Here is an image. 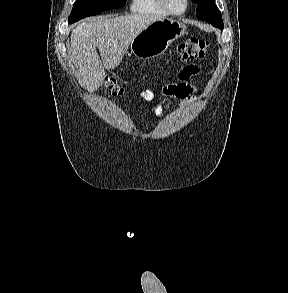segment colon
<instances>
[{
    "instance_id": "1",
    "label": "colon",
    "mask_w": 288,
    "mask_h": 293,
    "mask_svg": "<svg viewBox=\"0 0 288 293\" xmlns=\"http://www.w3.org/2000/svg\"><path fill=\"white\" fill-rule=\"evenodd\" d=\"M208 46L209 43L206 40L199 38H189L178 45L175 50V54L183 62L203 59L207 54ZM104 87L106 91L114 97L121 96L124 93L123 87L114 77L111 76L105 78Z\"/></svg>"
}]
</instances>
